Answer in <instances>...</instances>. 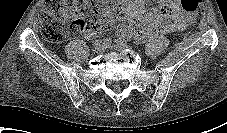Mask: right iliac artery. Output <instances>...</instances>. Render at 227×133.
Wrapping results in <instances>:
<instances>
[{"instance_id": "obj_1", "label": "right iliac artery", "mask_w": 227, "mask_h": 133, "mask_svg": "<svg viewBox=\"0 0 227 133\" xmlns=\"http://www.w3.org/2000/svg\"><path fill=\"white\" fill-rule=\"evenodd\" d=\"M103 45L106 46V47H109L111 45V40L106 38L103 40Z\"/></svg>"}]
</instances>
